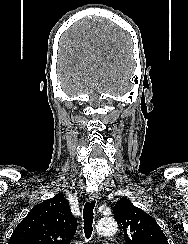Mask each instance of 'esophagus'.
I'll list each match as a JSON object with an SVG mask.
<instances>
[{"instance_id":"1","label":"esophagus","mask_w":188,"mask_h":244,"mask_svg":"<svg viewBox=\"0 0 188 244\" xmlns=\"http://www.w3.org/2000/svg\"><path fill=\"white\" fill-rule=\"evenodd\" d=\"M99 198H100V193H98V192H91L89 194V201H91V202L98 201Z\"/></svg>"}]
</instances>
